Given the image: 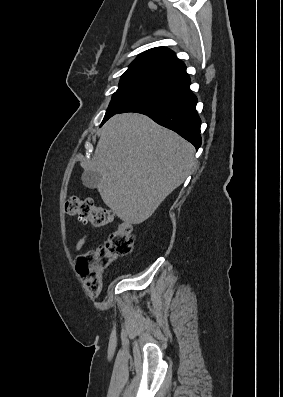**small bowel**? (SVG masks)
Returning <instances> with one entry per match:
<instances>
[{
    "label": "small bowel",
    "mask_w": 283,
    "mask_h": 397,
    "mask_svg": "<svg viewBox=\"0 0 283 397\" xmlns=\"http://www.w3.org/2000/svg\"><path fill=\"white\" fill-rule=\"evenodd\" d=\"M90 235L89 234H84L83 236H81L76 245H75V251L79 252L83 246L85 245V243L87 242V240L89 239Z\"/></svg>",
    "instance_id": "small-bowel-1"
}]
</instances>
